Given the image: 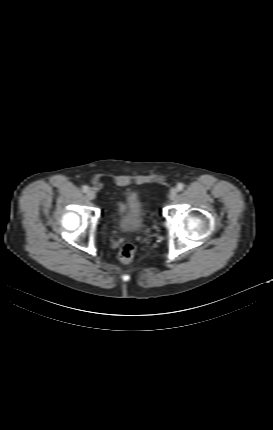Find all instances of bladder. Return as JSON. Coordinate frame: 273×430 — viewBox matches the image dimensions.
Wrapping results in <instances>:
<instances>
[{
    "instance_id": "31cf9c89",
    "label": "bladder",
    "mask_w": 273,
    "mask_h": 430,
    "mask_svg": "<svg viewBox=\"0 0 273 430\" xmlns=\"http://www.w3.org/2000/svg\"><path fill=\"white\" fill-rule=\"evenodd\" d=\"M124 211L118 221V229L122 232H138L144 226V207L136 193L127 195Z\"/></svg>"
}]
</instances>
